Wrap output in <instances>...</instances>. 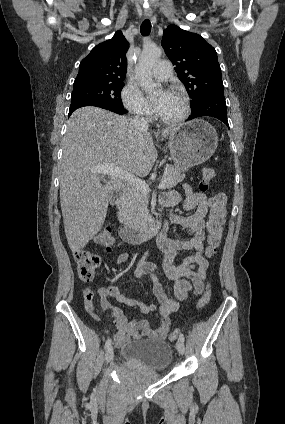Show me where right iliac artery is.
Returning <instances> with one entry per match:
<instances>
[{
  "mask_svg": "<svg viewBox=\"0 0 285 424\" xmlns=\"http://www.w3.org/2000/svg\"><path fill=\"white\" fill-rule=\"evenodd\" d=\"M146 256H147V252H146V253H145V255L142 257V259L139 261L138 266H140V265H141V264L145 261ZM111 342H112V340H111V339H108V340L106 341V343H105V349H108V348L111 346Z\"/></svg>",
  "mask_w": 285,
  "mask_h": 424,
  "instance_id": "obj_1",
  "label": "right iliac artery"
}]
</instances>
